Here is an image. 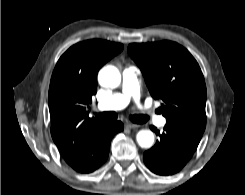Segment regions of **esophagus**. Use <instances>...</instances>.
I'll return each mask as SVG.
<instances>
[{
  "label": "esophagus",
  "instance_id": "1",
  "mask_svg": "<svg viewBox=\"0 0 245 195\" xmlns=\"http://www.w3.org/2000/svg\"><path fill=\"white\" fill-rule=\"evenodd\" d=\"M125 126H126V128H128V129H137V128L139 127L138 124H135V123H132V122H127V123L125 124Z\"/></svg>",
  "mask_w": 245,
  "mask_h": 195
}]
</instances>
